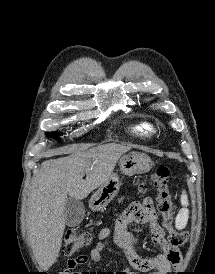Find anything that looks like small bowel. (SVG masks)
Listing matches in <instances>:
<instances>
[{
  "instance_id": "small-bowel-1",
  "label": "small bowel",
  "mask_w": 215,
  "mask_h": 274,
  "mask_svg": "<svg viewBox=\"0 0 215 274\" xmlns=\"http://www.w3.org/2000/svg\"><path fill=\"white\" fill-rule=\"evenodd\" d=\"M132 222L148 224L151 230L153 245L160 248L163 252L150 257L139 255L136 249V240L128 231V226ZM111 235L114 242L125 251L130 268L118 272L74 271L77 266L85 264L88 258L95 262L99 261L101 250L104 248V241ZM181 262L182 257L179 247L167 241L165 232L158 223L153 200L148 197L140 203L131 204L119 216L113 229H101L97 234V244L90 250L89 257L80 255L68 260L67 268L60 274H136V272L167 274L173 269L179 268Z\"/></svg>"
}]
</instances>
